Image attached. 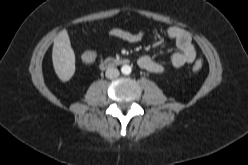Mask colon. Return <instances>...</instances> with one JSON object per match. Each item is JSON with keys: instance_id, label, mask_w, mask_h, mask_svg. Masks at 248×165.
Returning a JSON list of instances; mask_svg holds the SVG:
<instances>
[{"instance_id": "1", "label": "colon", "mask_w": 248, "mask_h": 165, "mask_svg": "<svg viewBox=\"0 0 248 165\" xmlns=\"http://www.w3.org/2000/svg\"><path fill=\"white\" fill-rule=\"evenodd\" d=\"M96 60V53L94 51H85L82 54V61L85 64H92L94 61ZM203 67V62L202 60H197L195 61V63L193 64V70L195 72H198L202 69Z\"/></svg>"}]
</instances>
